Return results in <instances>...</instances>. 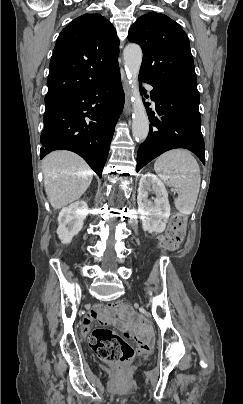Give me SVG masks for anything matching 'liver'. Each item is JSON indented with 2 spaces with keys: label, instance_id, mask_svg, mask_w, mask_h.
Masks as SVG:
<instances>
[{
  "label": "liver",
  "instance_id": "6515ba94",
  "mask_svg": "<svg viewBox=\"0 0 243 404\" xmlns=\"http://www.w3.org/2000/svg\"><path fill=\"white\" fill-rule=\"evenodd\" d=\"M47 198L54 210L77 202L89 188L93 170L73 152H52L42 162Z\"/></svg>",
  "mask_w": 243,
  "mask_h": 404
}]
</instances>
